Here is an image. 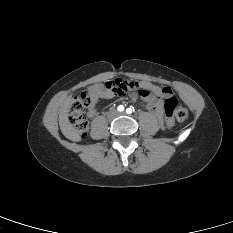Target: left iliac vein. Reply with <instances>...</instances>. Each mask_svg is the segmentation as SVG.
Returning a JSON list of instances; mask_svg holds the SVG:
<instances>
[{"mask_svg":"<svg viewBox=\"0 0 233 233\" xmlns=\"http://www.w3.org/2000/svg\"><path fill=\"white\" fill-rule=\"evenodd\" d=\"M121 115H123L124 114V112H122V113H120Z\"/></svg>","mask_w":233,"mask_h":233,"instance_id":"1","label":"left iliac vein"}]
</instances>
